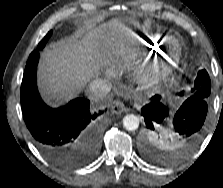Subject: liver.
Listing matches in <instances>:
<instances>
[{"label":"liver","mask_w":223,"mask_h":188,"mask_svg":"<svg viewBox=\"0 0 223 188\" xmlns=\"http://www.w3.org/2000/svg\"><path fill=\"white\" fill-rule=\"evenodd\" d=\"M125 31L119 19H112L99 26L89 24L51 44L41 53L38 80L42 95L56 102L72 98L101 66H120L121 59L130 58L132 52L124 41Z\"/></svg>","instance_id":"6515ba94"}]
</instances>
